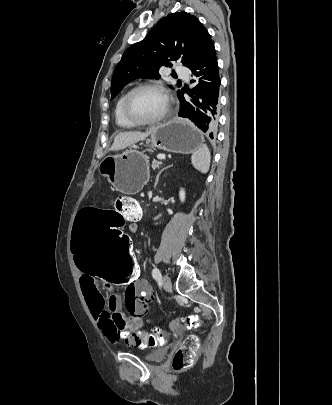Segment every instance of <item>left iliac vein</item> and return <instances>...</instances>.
<instances>
[{"instance_id":"obj_1","label":"left iliac vein","mask_w":332,"mask_h":405,"mask_svg":"<svg viewBox=\"0 0 332 405\" xmlns=\"http://www.w3.org/2000/svg\"><path fill=\"white\" fill-rule=\"evenodd\" d=\"M162 283H163L164 289L166 291H169L171 289L172 283H171V279L168 275L163 276Z\"/></svg>"}]
</instances>
